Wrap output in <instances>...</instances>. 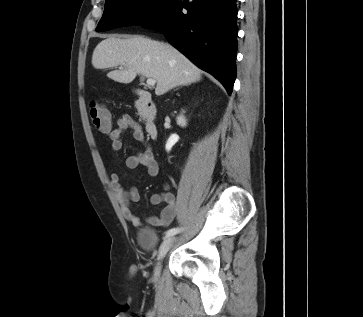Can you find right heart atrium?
<instances>
[{
    "label": "right heart atrium",
    "instance_id": "right-heart-atrium-1",
    "mask_svg": "<svg viewBox=\"0 0 363 317\" xmlns=\"http://www.w3.org/2000/svg\"><path fill=\"white\" fill-rule=\"evenodd\" d=\"M148 4V1L146 0H138L136 1V5L139 7V8H144L146 7Z\"/></svg>",
    "mask_w": 363,
    "mask_h": 317
}]
</instances>
